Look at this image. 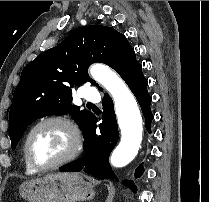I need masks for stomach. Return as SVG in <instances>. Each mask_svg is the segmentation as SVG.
<instances>
[{"mask_svg": "<svg viewBox=\"0 0 209 202\" xmlns=\"http://www.w3.org/2000/svg\"><path fill=\"white\" fill-rule=\"evenodd\" d=\"M19 194L28 202H79L92 199L95 191L80 174L56 173L22 183Z\"/></svg>", "mask_w": 209, "mask_h": 202, "instance_id": "obj_1", "label": "stomach"}]
</instances>
